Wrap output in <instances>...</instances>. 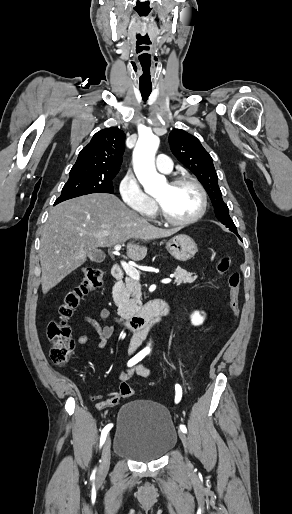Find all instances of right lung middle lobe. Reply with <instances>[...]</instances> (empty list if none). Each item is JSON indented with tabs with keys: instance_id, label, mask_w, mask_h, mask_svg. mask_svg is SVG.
I'll list each match as a JSON object with an SVG mask.
<instances>
[{
	"instance_id": "right-lung-middle-lobe-1",
	"label": "right lung middle lobe",
	"mask_w": 292,
	"mask_h": 514,
	"mask_svg": "<svg viewBox=\"0 0 292 514\" xmlns=\"http://www.w3.org/2000/svg\"><path fill=\"white\" fill-rule=\"evenodd\" d=\"M116 175L70 174L62 189L61 196L54 205L82 195L91 193H114L112 180Z\"/></svg>"
}]
</instances>
